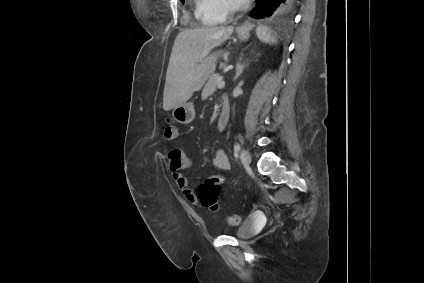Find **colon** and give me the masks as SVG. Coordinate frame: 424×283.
Segmentation results:
<instances>
[{
	"instance_id": "1",
	"label": "colon",
	"mask_w": 424,
	"mask_h": 283,
	"mask_svg": "<svg viewBox=\"0 0 424 283\" xmlns=\"http://www.w3.org/2000/svg\"><path fill=\"white\" fill-rule=\"evenodd\" d=\"M166 140H173L177 136V129L173 125H166L163 130ZM168 162L171 170H179L188 164L185 153L177 148H173L168 152ZM224 179L221 175H214L206 179L198 189V197L201 204L210 209L217 208L220 186ZM226 221L230 225H238L240 216L231 214L226 217Z\"/></svg>"
}]
</instances>
